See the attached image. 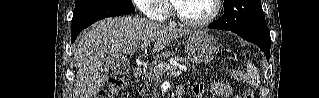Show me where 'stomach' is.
Returning <instances> with one entry per match:
<instances>
[{
	"mask_svg": "<svg viewBox=\"0 0 319 98\" xmlns=\"http://www.w3.org/2000/svg\"><path fill=\"white\" fill-rule=\"evenodd\" d=\"M219 51L217 40L209 34L197 31L189 35L185 44L187 57L193 62H210Z\"/></svg>",
	"mask_w": 319,
	"mask_h": 98,
	"instance_id": "obj_1",
	"label": "stomach"
}]
</instances>
